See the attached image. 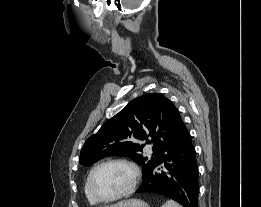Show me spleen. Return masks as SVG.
<instances>
[{
  "label": "spleen",
  "mask_w": 261,
  "mask_h": 207,
  "mask_svg": "<svg viewBox=\"0 0 261 207\" xmlns=\"http://www.w3.org/2000/svg\"><path fill=\"white\" fill-rule=\"evenodd\" d=\"M161 207H181L176 202L169 200L166 203H164Z\"/></svg>",
  "instance_id": "3e777b00"
}]
</instances>
